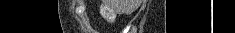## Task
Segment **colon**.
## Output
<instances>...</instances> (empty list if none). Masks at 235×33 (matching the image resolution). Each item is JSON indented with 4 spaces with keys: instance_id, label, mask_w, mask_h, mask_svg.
I'll return each mask as SVG.
<instances>
[{
    "instance_id": "colon-1",
    "label": "colon",
    "mask_w": 235,
    "mask_h": 33,
    "mask_svg": "<svg viewBox=\"0 0 235 33\" xmlns=\"http://www.w3.org/2000/svg\"><path fill=\"white\" fill-rule=\"evenodd\" d=\"M103 14H104V16H106L108 18H111L113 16L112 12L107 8L103 9Z\"/></svg>"
}]
</instances>
